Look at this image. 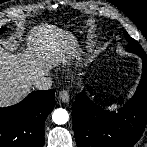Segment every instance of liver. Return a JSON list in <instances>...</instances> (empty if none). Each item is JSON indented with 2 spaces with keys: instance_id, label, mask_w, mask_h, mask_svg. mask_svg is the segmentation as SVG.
I'll return each mask as SVG.
<instances>
[{
  "instance_id": "6515ba94",
  "label": "liver",
  "mask_w": 147,
  "mask_h": 147,
  "mask_svg": "<svg viewBox=\"0 0 147 147\" xmlns=\"http://www.w3.org/2000/svg\"><path fill=\"white\" fill-rule=\"evenodd\" d=\"M27 46L18 55L0 46V106L18 102L52 66L77 57L75 36L51 24L31 28Z\"/></svg>"
}]
</instances>
